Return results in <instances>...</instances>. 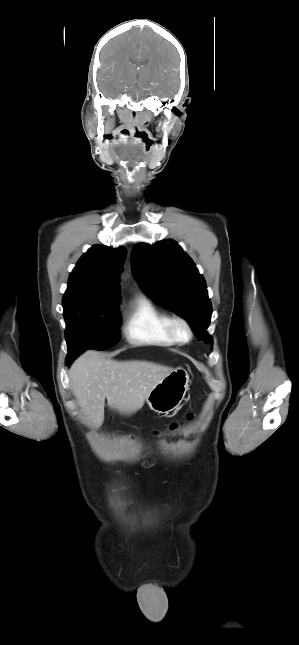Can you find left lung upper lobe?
Here are the masks:
<instances>
[{"mask_svg": "<svg viewBox=\"0 0 299 645\" xmlns=\"http://www.w3.org/2000/svg\"><path fill=\"white\" fill-rule=\"evenodd\" d=\"M131 263L147 295L184 317L198 339L212 342L206 332L212 307L205 280L176 242L168 239L154 245L139 243L132 249Z\"/></svg>", "mask_w": 299, "mask_h": 645, "instance_id": "obj_1", "label": "left lung upper lobe"}]
</instances>
